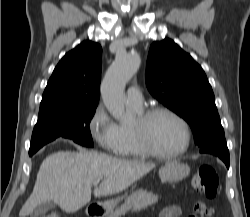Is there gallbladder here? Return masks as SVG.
<instances>
[{
    "instance_id": "bac80fb5",
    "label": "gallbladder",
    "mask_w": 250,
    "mask_h": 217,
    "mask_svg": "<svg viewBox=\"0 0 250 217\" xmlns=\"http://www.w3.org/2000/svg\"><path fill=\"white\" fill-rule=\"evenodd\" d=\"M54 206L55 205L53 202L43 203L34 209V211L32 212V217H43V215L54 208Z\"/></svg>"
}]
</instances>
